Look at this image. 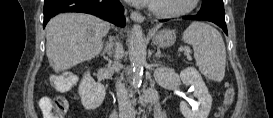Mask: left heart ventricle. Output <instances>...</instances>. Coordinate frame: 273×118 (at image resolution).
Returning <instances> with one entry per match:
<instances>
[{
    "label": "left heart ventricle",
    "mask_w": 273,
    "mask_h": 118,
    "mask_svg": "<svg viewBox=\"0 0 273 118\" xmlns=\"http://www.w3.org/2000/svg\"><path fill=\"white\" fill-rule=\"evenodd\" d=\"M189 0H157L154 5L159 10H178L184 8Z\"/></svg>",
    "instance_id": "obj_1"
}]
</instances>
